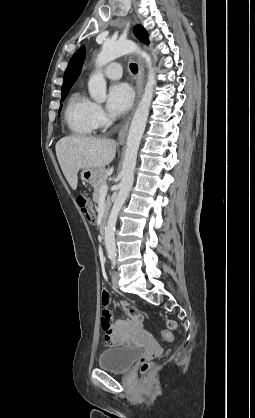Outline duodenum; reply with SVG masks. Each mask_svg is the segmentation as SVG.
<instances>
[{
    "label": "duodenum",
    "mask_w": 255,
    "mask_h": 418,
    "mask_svg": "<svg viewBox=\"0 0 255 418\" xmlns=\"http://www.w3.org/2000/svg\"><path fill=\"white\" fill-rule=\"evenodd\" d=\"M107 214L105 213L100 221V225H99V234L101 236H104L106 233V228H107Z\"/></svg>",
    "instance_id": "obj_1"
}]
</instances>
